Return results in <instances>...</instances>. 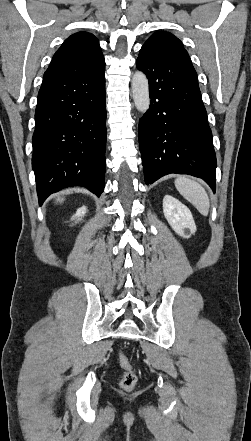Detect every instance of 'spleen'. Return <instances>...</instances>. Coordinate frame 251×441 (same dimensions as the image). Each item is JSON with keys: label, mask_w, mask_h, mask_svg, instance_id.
I'll return each instance as SVG.
<instances>
[{"label": "spleen", "mask_w": 251, "mask_h": 441, "mask_svg": "<svg viewBox=\"0 0 251 441\" xmlns=\"http://www.w3.org/2000/svg\"><path fill=\"white\" fill-rule=\"evenodd\" d=\"M175 187L202 215H208L210 207L209 197L198 182L185 176H180L175 180Z\"/></svg>", "instance_id": "obj_1"}]
</instances>
